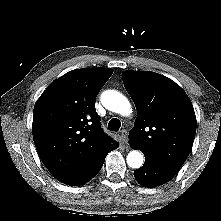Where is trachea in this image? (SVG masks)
Masks as SVG:
<instances>
[{
    "mask_svg": "<svg viewBox=\"0 0 221 221\" xmlns=\"http://www.w3.org/2000/svg\"><path fill=\"white\" fill-rule=\"evenodd\" d=\"M121 127V122L117 118H113L108 123V129L110 131L118 132Z\"/></svg>",
    "mask_w": 221,
    "mask_h": 221,
    "instance_id": "3493384b",
    "label": "trachea"
}]
</instances>
